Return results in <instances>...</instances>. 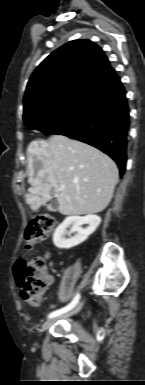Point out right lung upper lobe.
<instances>
[{
	"label": "right lung upper lobe",
	"instance_id": "1",
	"mask_svg": "<svg viewBox=\"0 0 145 385\" xmlns=\"http://www.w3.org/2000/svg\"><path fill=\"white\" fill-rule=\"evenodd\" d=\"M118 79L99 46L89 40L70 41L33 72L24 96V115L69 90L97 92Z\"/></svg>",
	"mask_w": 145,
	"mask_h": 385
}]
</instances>
